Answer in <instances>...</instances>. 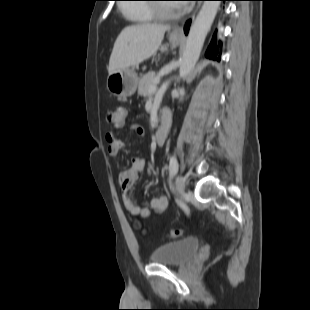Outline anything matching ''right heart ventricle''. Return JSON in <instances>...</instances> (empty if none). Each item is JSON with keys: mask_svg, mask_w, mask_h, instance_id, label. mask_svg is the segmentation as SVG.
<instances>
[{"mask_svg": "<svg viewBox=\"0 0 310 310\" xmlns=\"http://www.w3.org/2000/svg\"><path fill=\"white\" fill-rule=\"evenodd\" d=\"M123 13L132 21L144 24L155 20V14L151 6H125Z\"/></svg>", "mask_w": 310, "mask_h": 310, "instance_id": "e07e8e85", "label": "right heart ventricle"}]
</instances>
